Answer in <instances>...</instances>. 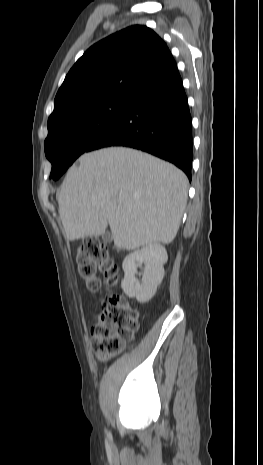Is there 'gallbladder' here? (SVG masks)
Returning <instances> with one entry per match:
<instances>
[{"label": "gallbladder", "instance_id": "bac80fb5", "mask_svg": "<svg viewBox=\"0 0 263 465\" xmlns=\"http://www.w3.org/2000/svg\"><path fill=\"white\" fill-rule=\"evenodd\" d=\"M102 239L104 242L110 243L112 241V235L110 234V232L106 231L102 234Z\"/></svg>", "mask_w": 263, "mask_h": 465}]
</instances>
